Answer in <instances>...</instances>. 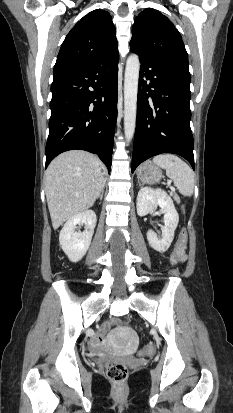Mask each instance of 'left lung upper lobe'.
<instances>
[{
  "label": "left lung upper lobe",
  "instance_id": "1",
  "mask_svg": "<svg viewBox=\"0 0 233 413\" xmlns=\"http://www.w3.org/2000/svg\"><path fill=\"white\" fill-rule=\"evenodd\" d=\"M130 49L190 77L188 55L181 35L174 24L159 11L147 8L136 17Z\"/></svg>",
  "mask_w": 233,
  "mask_h": 413
}]
</instances>
